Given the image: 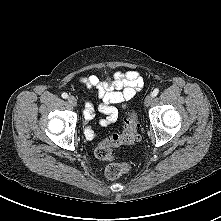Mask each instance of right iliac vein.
<instances>
[{"label":"right iliac vein","mask_w":221,"mask_h":221,"mask_svg":"<svg viewBox=\"0 0 221 221\" xmlns=\"http://www.w3.org/2000/svg\"><path fill=\"white\" fill-rule=\"evenodd\" d=\"M68 102L72 105V106H77V99L74 96H69L68 97Z\"/></svg>","instance_id":"63e3f726"}]
</instances>
